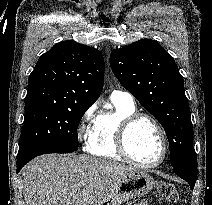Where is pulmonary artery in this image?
<instances>
[{
  "mask_svg": "<svg viewBox=\"0 0 212 205\" xmlns=\"http://www.w3.org/2000/svg\"><path fill=\"white\" fill-rule=\"evenodd\" d=\"M111 98L123 100L128 103H134L132 95L124 90H113L111 93Z\"/></svg>",
  "mask_w": 212,
  "mask_h": 205,
  "instance_id": "obj_1",
  "label": "pulmonary artery"
}]
</instances>
